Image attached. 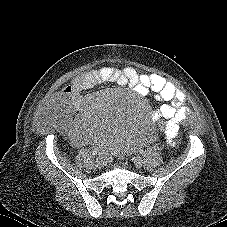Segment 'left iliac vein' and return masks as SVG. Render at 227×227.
Here are the masks:
<instances>
[{"mask_svg":"<svg viewBox=\"0 0 227 227\" xmlns=\"http://www.w3.org/2000/svg\"><path fill=\"white\" fill-rule=\"evenodd\" d=\"M133 162H134V165H135L137 168H141V167L143 166V164H144V162H143V160H142L141 157H136V158H134Z\"/></svg>","mask_w":227,"mask_h":227,"instance_id":"left-iliac-vein-1","label":"left iliac vein"}]
</instances>
